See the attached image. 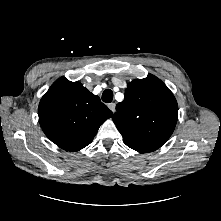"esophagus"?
<instances>
[{"instance_id":"1","label":"esophagus","mask_w":221,"mask_h":221,"mask_svg":"<svg viewBox=\"0 0 221 221\" xmlns=\"http://www.w3.org/2000/svg\"><path fill=\"white\" fill-rule=\"evenodd\" d=\"M108 108L112 111L115 112V103H109Z\"/></svg>"}]
</instances>
